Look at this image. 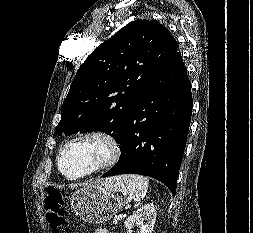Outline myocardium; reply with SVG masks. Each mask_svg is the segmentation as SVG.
<instances>
[{
	"mask_svg": "<svg viewBox=\"0 0 253 233\" xmlns=\"http://www.w3.org/2000/svg\"><path fill=\"white\" fill-rule=\"evenodd\" d=\"M90 141L99 142L106 146L107 154L105 158L100 163H98L95 167H93L87 172H84L77 176L67 175L62 168V158L65 152L73 145H76L82 142H90ZM120 156H121V146L116 136L109 131L96 129V130H91L81 135H78L70 139L66 144H64V146L60 149L57 155V168L60 174L66 180L78 181L114 166L120 159Z\"/></svg>",
	"mask_w": 253,
	"mask_h": 233,
	"instance_id": "myocardium-1",
	"label": "myocardium"
}]
</instances>
